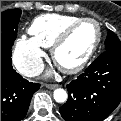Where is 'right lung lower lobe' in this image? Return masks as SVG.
<instances>
[{
  "label": "right lung lower lobe",
  "mask_w": 121,
  "mask_h": 121,
  "mask_svg": "<svg viewBox=\"0 0 121 121\" xmlns=\"http://www.w3.org/2000/svg\"><path fill=\"white\" fill-rule=\"evenodd\" d=\"M11 49L1 48V121H21L40 84L31 83L12 67Z\"/></svg>",
  "instance_id": "1"
}]
</instances>
